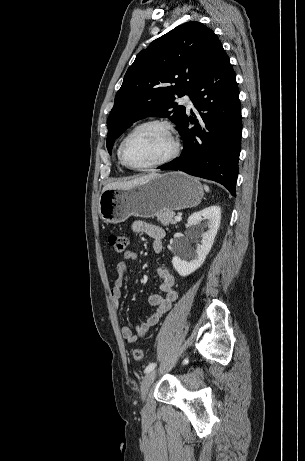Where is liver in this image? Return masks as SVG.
I'll use <instances>...</instances> for the list:
<instances>
[{"label":"liver","instance_id":"liver-1","mask_svg":"<svg viewBox=\"0 0 305 461\" xmlns=\"http://www.w3.org/2000/svg\"><path fill=\"white\" fill-rule=\"evenodd\" d=\"M156 176H158V174L152 173V174L142 176V177H138V178H135V179L129 180V181H119V182L108 183L103 187L102 192L105 191V190H109V189H127V188H131V187H134V186H136L138 184L144 183L145 181H147V180H149L151 178H154Z\"/></svg>","mask_w":305,"mask_h":461}]
</instances>
